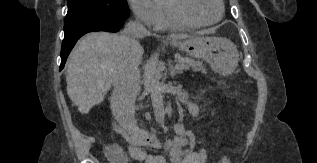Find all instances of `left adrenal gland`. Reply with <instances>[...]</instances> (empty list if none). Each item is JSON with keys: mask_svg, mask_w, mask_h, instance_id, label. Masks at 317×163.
Returning a JSON list of instances; mask_svg holds the SVG:
<instances>
[{"mask_svg": "<svg viewBox=\"0 0 317 163\" xmlns=\"http://www.w3.org/2000/svg\"><path fill=\"white\" fill-rule=\"evenodd\" d=\"M177 73H180L176 71L173 65L170 66V76L173 78Z\"/></svg>", "mask_w": 317, "mask_h": 163, "instance_id": "1", "label": "left adrenal gland"}]
</instances>
